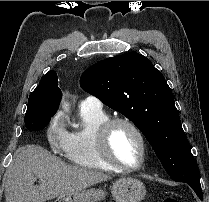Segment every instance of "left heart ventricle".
I'll return each mask as SVG.
<instances>
[{"label": "left heart ventricle", "mask_w": 209, "mask_h": 202, "mask_svg": "<svg viewBox=\"0 0 209 202\" xmlns=\"http://www.w3.org/2000/svg\"><path fill=\"white\" fill-rule=\"evenodd\" d=\"M109 145L112 156L127 166H136L141 159V145L134 131L123 124L115 126L111 132Z\"/></svg>", "instance_id": "left-heart-ventricle-1"}]
</instances>
